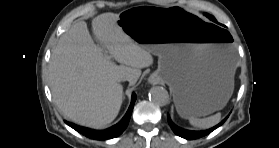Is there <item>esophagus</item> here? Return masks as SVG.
<instances>
[{
	"mask_svg": "<svg viewBox=\"0 0 279 148\" xmlns=\"http://www.w3.org/2000/svg\"><path fill=\"white\" fill-rule=\"evenodd\" d=\"M150 82H151V83H156V81H154V80H150Z\"/></svg>",
	"mask_w": 279,
	"mask_h": 148,
	"instance_id": "obj_1",
	"label": "esophagus"
}]
</instances>
